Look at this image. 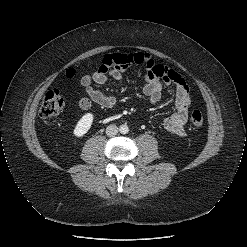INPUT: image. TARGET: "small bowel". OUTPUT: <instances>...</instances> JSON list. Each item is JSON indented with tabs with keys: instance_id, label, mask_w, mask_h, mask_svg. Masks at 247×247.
Listing matches in <instances>:
<instances>
[{
	"instance_id": "1",
	"label": "small bowel",
	"mask_w": 247,
	"mask_h": 247,
	"mask_svg": "<svg viewBox=\"0 0 247 247\" xmlns=\"http://www.w3.org/2000/svg\"><path fill=\"white\" fill-rule=\"evenodd\" d=\"M142 65L146 68L143 93L150 103L156 104L162 95V82L175 90V112L163 120L164 128L173 134L186 135L185 125L188 119L191 98L188 85L179 73L162 64L156 63L149 53H113L104 56L99 68L81 77V85L85 95L79 99V106L88 110L92 103L111 109L116 104V98L109 93L94 89L93 84H106L109 77L117 83H122L123 73L130 67Z\"/></svg>"
}]
</instances>
